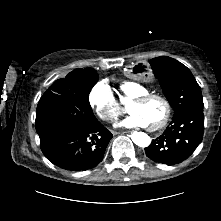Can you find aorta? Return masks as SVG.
<instances>
[{
  "mask_svg": "<svg viewBox=\"0 0 221 221\" xmlns=\"http://www.w3.org/2000/svg\"><path fill=\"white\" fill-rule=\"evenodd\" d=\"M131 139L139 147H147L151 143V138L144 132L134 131L131 134Z\"/></svg>",
  "mask_w": 221,
  "mask_h": 221,
  "instance_id": "1",
  "label": "aorta"
}]
</instances>
